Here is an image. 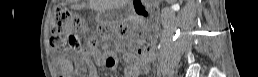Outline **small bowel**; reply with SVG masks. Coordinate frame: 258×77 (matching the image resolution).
<instances>
[{"label":"small bowel","mask_w":258,"mask_h":77,"mask_svg":"<svg viewBox=\"0 0 258 77\" xmlns=\"http://www.w3.org/2000/svg\"><path fill=\"white\" fill-rule=\"evenodd\" d=\"M155 52L149 51L141 56H136L132 53L125 54V61L127 63V74L138 76L142 73L149 72L150 63L155 59ZM99 63L105 68L114 70L118 66L117 57L112 52L100 54ZM67 65V62H64Z\"/></svg>","instance_id":"small-bowel-1"}]
</instances>
